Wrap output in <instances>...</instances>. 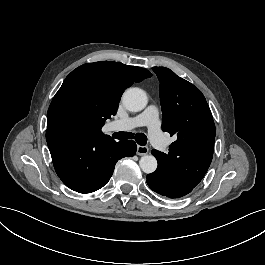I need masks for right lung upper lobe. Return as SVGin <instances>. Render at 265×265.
<instances>
[{
  "label": "right lung upper lobe",
  "mask_w": 265,
  "mask_h": 265,
  "mask_svg": "<svg viewBox=\"0 0 265 265\" xmlns=\"http://www.w3.org/2000/svg\"><path fill=\"white\" fill-rule=\"evenodd\" d=\"M151 76L152 74L144 68L120 62L87 63L73 70L57 93L73 86L84 87L105 103L111 116L116 114L124 90L134 82H140Z\"/></svg>",
  "instance_id": "right-lung-upper-lobe-1"
}]
</instances>
